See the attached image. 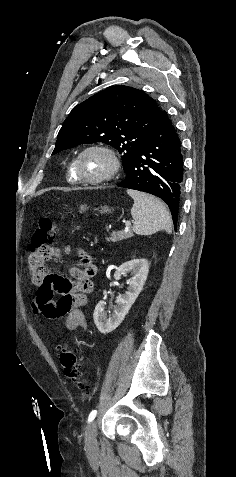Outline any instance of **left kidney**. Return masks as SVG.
Here are the masks:
<instances>
[{"instance_id":"5707ae66","label":"left kidney","mask_w":236,"mask_h":477,"mask_svg":"<svg viewBox=\"0 0 236 477\" xmlns=\"http://www.w3.org/2000/svg\"><path fill=\"white\" fill-rule=\"evenodd\" d=\"M149 272V263L145 259H133L123 263L115 272L114 278L119 280L122 275L131 273L132 278L127 282L129 287L125 294L116 299V307L112 315L107 318L105 313L106 302L100 301L94 310V323L100 333L107 334L116 329L124 320L131 306L143 289Z\"/></svg>"}]
</instances>
